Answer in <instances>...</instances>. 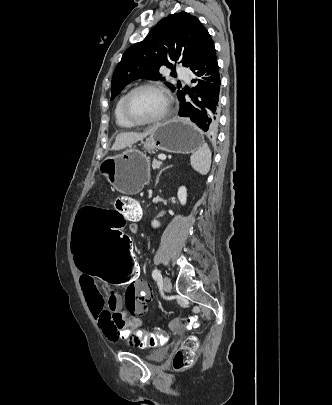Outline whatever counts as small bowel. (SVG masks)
Masks as SVG:
<instances>
[{
    "label": "small bowel",
    "instance_id": "obj_1",
    "mask_svg": "<svg viewBox=\"0 0 332 405\" xmlns=\"http://www.w3.org/2000/svg\"><path fill=\"white\" fill-rule=\"evenodd\" d=\"M137 214H141V212L136 211L127 217L130 221L131 233L137 232L136 220L133 219V216ZM75 266L79 271L80 284L90 312L107 339L110 341L121 340L118 336L120 329L135 331L143 327L139 318L129 319L127 317L128 313L140 314L149 306V297H144V295H148V290L143 283L138 280L131 282V286L126 288V297L123 301L115 288L109 286V281L106 282L107 294L103 295L98 287L96 275H82V268L78 267V262H75ZM136 266L138 265L136 264ZM136 339L133 343H136Z\"/></svg>",
    "mask_w": 332,
    "mask_h": 405
}]
</instances>
